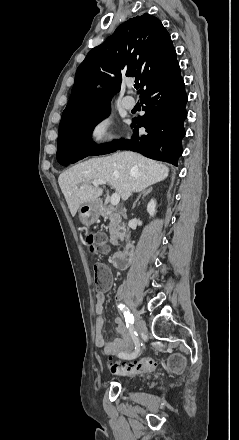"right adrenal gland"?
<instances>
[{"mask_svg": "<svg viewBox=\"0 0 239 440\" xmlns=\"http://www.w3.org/2000/svg\"><path fill=\"white\" fill-rule=\"evenodd\" d=\"M153 188H147V190H143L142 194H140V196H138L137 200H135L133 206H132V210H134V208H136V204L137 202H139V198H141V196H147V194H150V192H152Z\"/></svg>", "mask_w": 239, "mask_h": 440, "instance_id": "2a0ac1e0", "label": "right adrenal gland"}]
</instances>
